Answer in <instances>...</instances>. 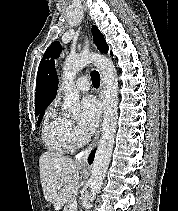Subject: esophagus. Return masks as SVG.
<instances>
[{
    "label": "esophagus",
    "mask_w": 178,
    "mask_h": 211,
    "mask_svg": "<svg viewBox=\"0 0 178 211\" xmlns=\"http://www.w3.org/2000/svg\"><path fill=\"white\" fill-rule=\"evenodd\" d=\"M92 47L94 48L93 43L91 42ZM97 69L99 70L100 73V92H99V96L100 99L102 101V103L104 104V92H103V75L101 72V68L100 66L97 64ZM101 129H102V116H101V120H100V126L98 127L97 131L95 132V135L93 137L92 142L88 145V147L81 153L78 162H77V166L78 167H86L87 166V159L89 154L96 148L97 144H98V140H99V136L101 133Z\"/></svg>",
    "instance_id": "34e87169"
}]
</instances>
